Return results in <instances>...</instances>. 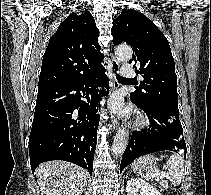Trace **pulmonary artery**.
Wrapping results in <instances>:
<instances>
[{
    "label": "pulmonary artery",
    "mask_w": 211,
    "mask_h": 195,
    "mask_svg": "<svg viewBox=\"0 0 211 195\" xmlns=\"http://www.w3.org/2000/svg\"><path fill=\"white\" fill-rule=\"evenodd\" d=\"M122 74L126 77H134L136 72L131 64H125L122 68Z\"/></svg>",
    "instance_id": "1"
}]
</instances>
